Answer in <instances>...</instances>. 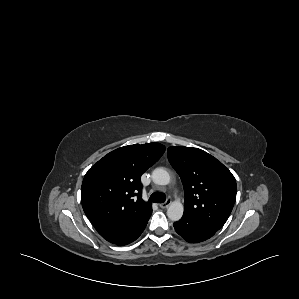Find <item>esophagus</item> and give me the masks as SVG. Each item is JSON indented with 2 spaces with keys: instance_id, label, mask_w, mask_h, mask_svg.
I'll return each mask as SVG.
<instances>
[{
  "instance_id": "34e87169",
  "label": "esophagus",
  "mask_w": 299,
  "mask_h": 299,
  "mask_svg": "<svg viewBox=\"0 0 299 299\" xmlns=\"http://www.w3.org/2000/svg\"><path fill=\"white\" fill-rule=\"evenodd\" d=\"M171 204V199H167L164 203H161L159 206L161 208H167Z\"/></svg>"
}]
</instances>
